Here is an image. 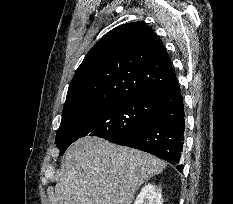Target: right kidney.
<instances>
[{"label":"right kidney","instance_id":"right-kidney-1","mask_svg":"<svg viewBox=\"0 0 233 204\" xmlns=\"http://www.w3.org/2000/svg\"><path fill=\"white\" fill-rule=\"evenodd\" d=\"M134 204H162L161 190L155 185H145L138 194Z\"/></svg>","mask_w":233,"mask_h":204}]
</instances>
